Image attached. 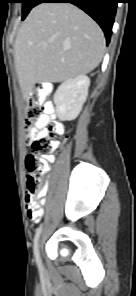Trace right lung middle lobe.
<instances>
[{
	"label": "right lung middle lobe",
	"instance_id": "obj_1",
	"mask_svg": "<svg viewBox=\"0 0 136 296\" xmlns=\"http://www.w3.org/2000/svg\"><path fill=\"white\" fill-rule=\"evenodd\" d=\"M41 0H20L21 3H23V7H22V20L25 19V17L27 16V14L29 13V11L35 7L36 5H38L40 3Z\"/></svg>",
	"mask_w": 136,
	"mask_h": 296
}]
</instances>
